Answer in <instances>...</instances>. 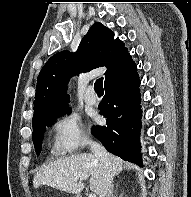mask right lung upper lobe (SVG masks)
Wrapping results in <instances>:
<instances>
[{"instance_id":"cb5924a9","label":"right lung upper lobe","mask_w":191,"mask_h":197,"mask_svg":"<svg viewBox=\"0 0 191 197\" xmlns=\"http://www.w3.org/2000/svg\"><path fill=\"white\" fill-rule=\"evenodd\" d=\"M106 66L105 84L134 68L135 62L127 48L114 33L101 23H95L82 38L76 53L61 51L52 56L41 69L34 101L32 126L62 111L70 109L67 83L75 74Z\"/></svg>"}]
</instances>
